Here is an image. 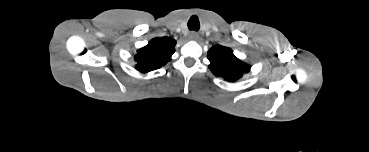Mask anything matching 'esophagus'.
I'll return each mask as SVG.
<instances>
[{
	"instance_id": "obj_1",
	"label": "esophagus",
	"mask_w": 369,
	"mask_h": 152,
	"mask_svg": "<svg viewBox=\"0 0 369 152\" xmlns=\"http://www.w3.org/2000/svg\"><path fill=\"white\" fill-rule=\"evenodd\" d=\"M197 38H198V34L196 32H191L190 33V39L196 40Z\"/></svg>"
}]
</instances>
